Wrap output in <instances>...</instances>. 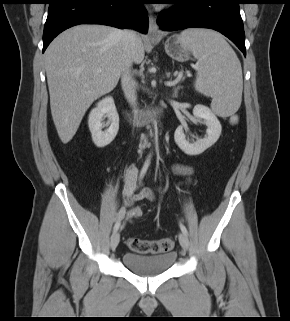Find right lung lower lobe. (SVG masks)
<instances>
[{
  "mask_svg": "<svg viewBox=\"0 0 290 321\" xmlns=\"http://www.w3.org/2000/svg\"><path fill=\"white\" fill-rule=\"evenodd\" d=\"M144 0H50L43 52L62 31L78 24H104L148 31Z\"/></svg>",
  "mask_w": 290,
  "mask_h": 321,
  "instance_id": "98d812e1",
  "label": "right lung lower lobe"
}]
</instances>
